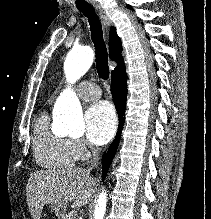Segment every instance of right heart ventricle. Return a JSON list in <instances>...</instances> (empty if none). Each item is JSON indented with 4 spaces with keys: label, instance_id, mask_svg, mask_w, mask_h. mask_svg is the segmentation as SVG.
Returning <instances> with one entry per match:
<instances>
[{
    "label": "right heart ventricle",
    "instance_id": "1",
    "mask_svg": "<svg viewBox=\"0 0 211 219\" xmlns=\"http://www.w3.org/2000/svg\"><path fill=\"white\" fill-rule=\"evenodd\" d=\"M33 149L37 163L45 168L71 167L77 160L68 139L49 129L48 116L45 112L35 121Z\"/></svg>",
    "mask_w": 211,
    "mask_h": 219
}]
</instances>
